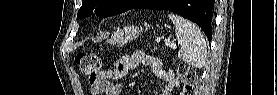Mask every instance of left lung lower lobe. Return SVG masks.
<instances>
[{"label": "left lung lower lobe", "instance_id": "obj_1", "mask_svg": "<svg viewBox=\"0 0 277 95\" xmlns=\"http://www.w3.org/2000/svg\"><path fill=\"white\" fill-rule=\"evenodd\" d=\"M159 3L160 0H143L135 8L163 9L177 13L198 24L208 40H211L215 0H174L166 7H161Z\"/></svg>", "mask_w": 277, "mask_h": 95}]
</instances>
